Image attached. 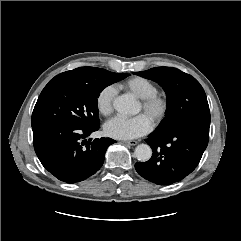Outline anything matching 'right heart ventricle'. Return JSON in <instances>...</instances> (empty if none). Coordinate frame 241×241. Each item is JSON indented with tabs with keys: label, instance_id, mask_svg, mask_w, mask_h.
Returning a JSON list of instances; mask_svg holds the SVG:
<instances>
[{
	"label": "right heart ventricle",
	"instance_id": "right-heart-ventricle-1",
	"mask_svg": "<svg viewBox=\"0 0 241 241\" xmlns=\"http://www.w3.org/2000/svg\"><path fill=\"white\" fill-rule=\"evenodd\" d=\"M121 87L127 89L140 99L147 98L157 93V86L149 79L140 76L127 80Z\"/></svg>",
	"mask_w": 241,
	"mask_h": 241
}]
</instances>
